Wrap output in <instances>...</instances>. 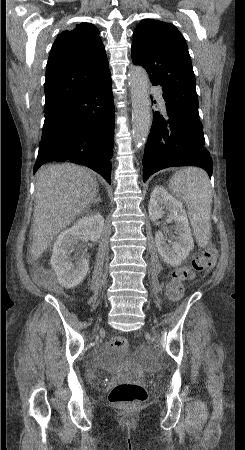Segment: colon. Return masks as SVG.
<instances>
[{
  "label": "colon",
  "mask_w": 245,
  "mask_h": 450,
  "mask_svg": "<svg viewBox=\"0 0 245 450\" xmlns=\"http://www.w3.org/2000/svg\"><path fill=\"white\" fill-rule=\"evenodd\" d=\"M217 258V252L214 248H205L198 253L190 264L180 266L171 273L170 280L167 284V296L170 301L178 303L185 294L184 282L195 272H201L210 269ZM41 285L47 289L57 290L48 278H43ZM112 346L117 350L126 352L130 348L127 339L123 337H114ZM148 398V392L142 385L135 383H122L115 385L108 396L109 402L116 405H135L143 403Z\"/></svg>",
  "instance_id": "obj_1"
}]
</instances>
